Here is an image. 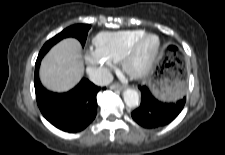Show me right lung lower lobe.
Masks as SVG:
<instances>
[{
    "label": "right lung lower lobe",
    "instance_id": "1",
    "mask_svg": "<svg viewBox=\"0 0 225 155\" xmlns=\"http://www.w3.org/2000/svg\"><path fill=\"white\" fill-rule=\"evenodd\" d=\"M40 62L41 59L37 58L34 85L41 113L52 125L62 131H82L95 119L97 113L96 95L100 87L83 78L74 89L67 93L50 92L39 81Z\"/></svg>",
    "mask_w": 225,
    "mask_h": 155
}]
</instances>
